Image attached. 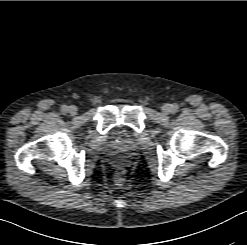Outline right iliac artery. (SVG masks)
<instances>
[{
	"instance_id": "1",
	"label": "right iliac artery",
	"mask_w": 247,
	"mask_h": 245,
	"mask_svg": "<svg viewBox=\"0 0 247 245\" xmlns=\"http://www.w3.org/2000/svg\"><path fill=\"white\" fill-rule=\"evenodd\" d=\"M61 111H62V113H66L68 111V106L67 105H63L61 107Z\"/></svg>"
}]
</instances>
